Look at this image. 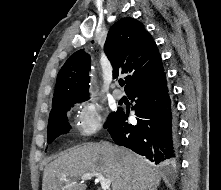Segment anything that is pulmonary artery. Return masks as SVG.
Listing matches in <instances>:
<instances>
[{"mask_svg": "<svg viewBox=\"0 0 221 190\" xmlns=\"http://www.w3.org/2000/svg\"><path fill=\"white\" fill-rule=\"evenodd\" d=\"M113 97H114L115 99H117V100H120V99L123 98V92H122L120 89L115 88V89L113 90Z\"/></svg>", "mask_w": 221, "mask_h": 190, "instance_id": "obj_1", "label": "pulmonary artery"}]
</instances>
